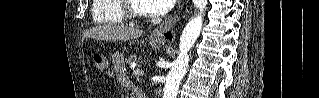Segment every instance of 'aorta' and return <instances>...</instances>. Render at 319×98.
<instances>
[{"label":"aorta","mask_w":319,"mask_h":98,"mask_svg":"<svg viewBox=\"0 0 319 98\" xmlns=\"http://www.w3.org/2000/svg\"><path fill=\"white\" fill-rule=\"evenodd\" d=\"M193 3L199 10V13L186 24L182 31L179 43V54L167 76L163 91V98H176L179 85L189 64V52L195 44L202 29L203 15L207 7L208 0H193Z\"/></svg>","instance_id":"aorta-1"}]
</instances>
